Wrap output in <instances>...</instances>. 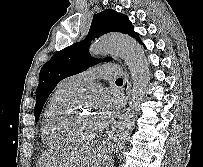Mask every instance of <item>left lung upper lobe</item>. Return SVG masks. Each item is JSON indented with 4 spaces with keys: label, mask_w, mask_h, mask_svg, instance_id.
Returning a JSON list of instances; mask_svg holds the SVG:
<instances>
[{
    "label": "left lung upper lobe",
    "mask_w": 203,
    "mask_h": 167,
    "mask_svg": "<svg viewBox=\"0 0 203 167\" xmlns=\"http://www.w3.org/2000/svg\"><path fill=\"white\" fill-rule=\"evenodd\" d=\"M124 14L107 9L95 14L87 38L55 53L40 71L39 85L36 89V105L34 107L35 121L37 122L48 96L58 82L66 77L83 72L98 62L89 55V46L92 39L109 32H121L136 38L138 34ZM110 57L103 61H111Z\"/></svg>",
    "instance_id": "1"
}]
</instances>
